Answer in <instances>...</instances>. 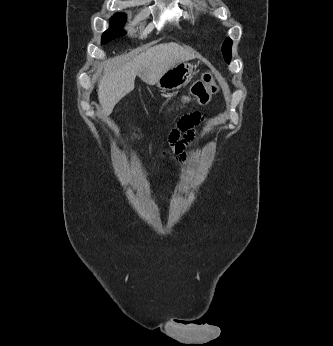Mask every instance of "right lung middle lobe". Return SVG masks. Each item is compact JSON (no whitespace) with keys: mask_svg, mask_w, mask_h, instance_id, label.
I'll list each match as a JSON object with an SVG mask.
<instances>
[{"mask_svg":"<svg viewBox=\"0 0 333 346\" xmlns=\"http://www.w3.org/2000/svg\"><path fill=\"white\" fill-rule=\"evenodd\" d=\"M126 16L124 14L118 13L115 14L111 19V26L109 30L104 32L102 36V42L101 44H105L109 42L110 40L122 36L125 34V32L122 29V26L124 25Z\"/></svg>","mask_w":333,"mask_h":346,"instance_id":"dd1d6c3e","label":"right lung middle lobe"}]
</instances>
